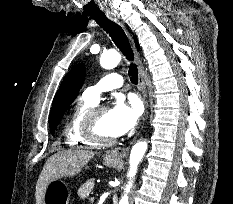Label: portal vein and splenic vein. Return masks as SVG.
Here are the masks:
<instances>
[{
	"label": "portal vein and splenic vein",
	"mask_w": 233,
	"mask_h": 204,
	"mask_svg": "<svg viewBox=\"0 0 233 204\" xmlns=\"http://www.w3.org/2000/svg\"><path fill=\"white\" fill-rule=\"evenodd\" d=\"M91 201H92V202L94 201V197L91 198Z\"/></svg>",
	"instance_id": "obj_1"
}]
</instances>
